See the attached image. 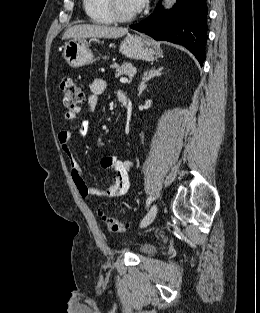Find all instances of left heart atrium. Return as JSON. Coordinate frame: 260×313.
Instances as JSON below:
<instances>
[{"label": "left heart atrium", "mask_w": 260, "mask_h": 313, "mask_svg": "<svg viewBox=\"0 0 260 313\" xmlns=\"http://www.w3.org/2000/svg\"><path fill=\"white\" fill-rule=\"evenodd\" d=\"M134 1V6L135 10H141L147 3L148 0H133Z\"/></svg>", "instance_id": "left-heart-atrium-1"}]
</instances>
